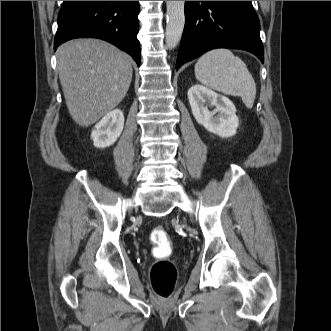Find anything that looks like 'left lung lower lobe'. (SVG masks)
Here are the masks:
<instances>
[{
  "label": "left lung lower lobe",
  "instance_id": "left-lung-lower-lobe-1",
  "mask_svg": "<svg viewBox=\"0 0 331 331\" xmlns=\"http://www.w3.org/2000/svg\"><path fill=\"white\" fill-rule=\"evenodd\" d=\"M176 70L215 48L249 51L264 62L260 23L251 1H185Z\"/></svg>",
  "mask_w": 331,
  "mask_h": 331
}]
</instances>
